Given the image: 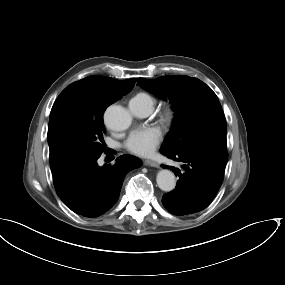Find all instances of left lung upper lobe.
Masks as SVG:
<instances>
[{"instance_id": "left-lung-upper-lobe-1", "label": "left lung upper lobe", "mask_w": 285, "mask_h": 285, "mask_svg": "<svg viewBox=\"0 0 285 285\" xmlns=\"http://www.w3.org/2000/svg\"><path fill=\"white\" fill-rule=\"evenodd\" d=\"M138 84L172 102L175 118L161 152L175 153L197 147L226 150V121L213 90L197 78L167 75L138 79Z\"/></svg>"}]
</instances>
